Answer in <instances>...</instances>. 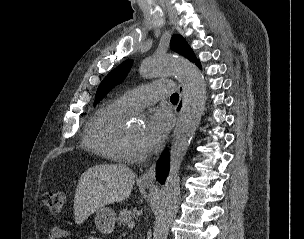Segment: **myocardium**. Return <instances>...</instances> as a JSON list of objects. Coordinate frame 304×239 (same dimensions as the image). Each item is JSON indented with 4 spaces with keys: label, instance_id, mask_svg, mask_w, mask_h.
<instances>
[{
    "label": "myocardium",
    "instance_id": "myocardium-1",
    "mask_svg": "<svg viewBox=\"0 0 304 239\" xmlns=\"http://www.w3.org/2000/svg\"><path fill=\"white\" fill-rule=\"evenodd\" d=\"M119 149L123 159L128 161H140L144 155L134 150L131 146L127 128H124L119 141Z\"/></svg>",
    "mask_w": 304,
    "mask_h": 239
}]
</instances>
